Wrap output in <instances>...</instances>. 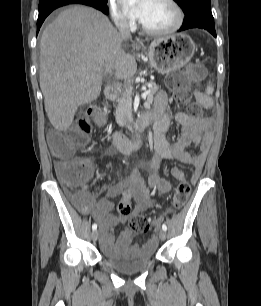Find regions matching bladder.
<instances>
[{
	"mask_svg": "<svg viewBox=\"0 0 261 306\" xmlns=\"http://www.w3.org/2000/svg\"><path fill=\"white\" fill-rule=\"evenodd\" d=\"M155 244H130L127 238L112 241L109 248L102 246L101 256L114 269L123 273H133L144 269L153 260Z\"/></svg>",
	"mask_w": 261,
	"mask_h": 306,
	"instance_id": "1",
	"label": "bladder"
}]
</instances>
